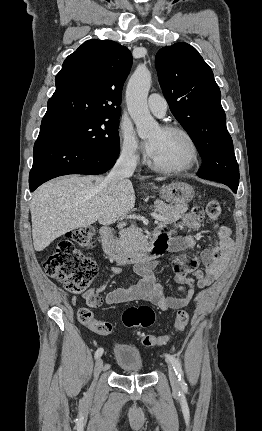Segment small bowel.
<instances>
[{
    "mask_svg": "<svg viewBox=\"0 0 262 431\" xmlns=\"http://www.w3.org/2000/svg\"><path fill=\"white\" fill-rule=\"evenodd\" d=\"M202 216V211L199 208L193 209L184 216L182 224L189 230L197 232L201 227ZM214 226L220 242L212 249L202 250L199 263L193 254H181L173 260L175 282L185 284L190 275L195 282V285L182 296L172 297L165 293L163 286L156 281L155 277L159 262L156 258L151 257L135 267L136 273L141 277L139 284L130 288H117L108 292L105 302L110 305H116L133 301H146L163 311L187 307L196 289L207 288L215 283L223 275L228 265L233 246L232 231L227 226L217 224ZM156 235L163 243V249L167 246L166 241L170 240L169 247L179 253L191 251L196 244L194 235L178 236L177 227L169 228L160 224L156 230ZM120 273L121 268L119 266H111L103 286L86 290L81 297L86 304V308L83 309L90 311V308L98 306L101 303V293L106 285ZM92 330L99 333L95 329Z\"/></svg>",
    "mask_w": 262,
    "mask_h": 431,
    "instance_id": "obj_1",
    "label": "small bowel"
}]
</instances>
